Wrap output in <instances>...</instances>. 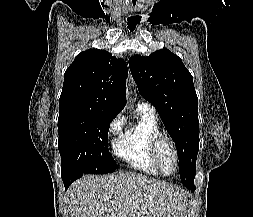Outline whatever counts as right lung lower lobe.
Instances as JSON below:
<instances>
[{
	"instance_id": "right-lung-lower-lobe-1",
	"label": "right lung lower lobe",
	"mask_w": 253,
	"mask_h": 217,
	"mask_svg": "<svg viewBox=\"0 0 253 217\" xmlns=\"http://www.w3.org/2000/svg\"><path fill=\"white\" fill-rule=\"evenodd\" d=\"M84 174H77V175H66L65 173H62V179L64 182V186L67 189L69 187V185L75 181L76 179H78L79 177H81Z\"/></svg>"
}]
</instances>
